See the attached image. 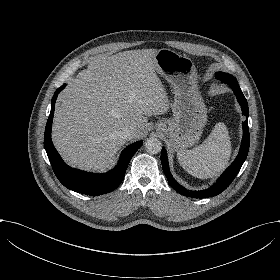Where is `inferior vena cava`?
<instances>
[{"label":"inferior vena cava","mask_w":280,"mask_h":280,"mask_svg":"<svg viewBox=\"0 0 280 280\" xmlns=\"http://www.w3.org/2000/svg\"><path fill=\"white\" fill-rule=\"evenodd\" d=\"M118 137L127 142V141H130L133 139V134L132 132L130 131V129L128 128H122L120 131H119V134H118Z\"/></svg>","instance_id":"1"}]
</instances>
